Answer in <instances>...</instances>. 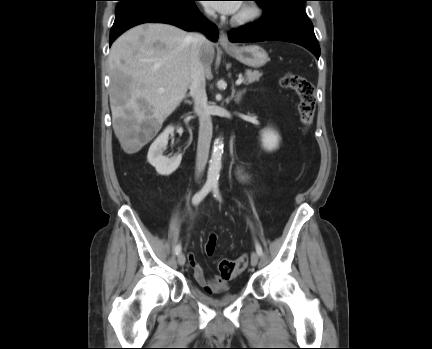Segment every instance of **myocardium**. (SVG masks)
I'll use <instances>...</instances> for the list:
<instances>
[{"mask_svg":"<svg viewBox=\"0 0 432 349\" xmlns=\"http://www.w3.org/2000/svg\"><path fill=\"white\" fill-rule=\"evenodd\" d=\"M243 12L232 18L234 25L242 26L255 22L262 15V9L256 2H247L243 6Z\"/></svg>","mask_w":432,"mask_h":349,"instance_id":"f54148a6","label":"myocardium"}]
</instances>
